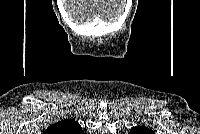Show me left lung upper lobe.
Segmentation results:
<instances>
[{
  "label": "left lung upper lobe",
  "instance_id": "5c2ea615",
  "mask_svg": "<svg viewBox=\"0 0 200 134\" xmlns=\"http://www.w3.org/2000/svg\"><path fill=\"white\" fill-rule=\"evenodd\" d=\"M129 134H154V132L144 126H135L131 129Z\"/></svg>",
  "mask_w": 200,
  "mask_h": 134
}]
</instances>
